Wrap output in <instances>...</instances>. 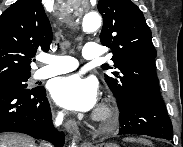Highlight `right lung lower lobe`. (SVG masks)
I'll return each mask as SVG.
<instances>
[{"mask_svg":"<svg viewBox=\"0 0 183 147\" xmlns=\"http://www.w3.org/2000/svg\"><path fill=\"white\" fill-rule=\"evenodd\" d=\"M0 132H20L46 139L57 147L64 144L63 132L55 130L44 87L0 89Z\"/></svg>","mask_w":183,"mask_h":147,"instance_id":"1","label":"right lung lower lobe"}]
</instances>
